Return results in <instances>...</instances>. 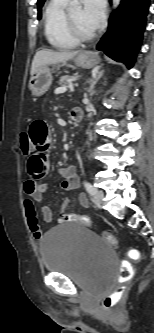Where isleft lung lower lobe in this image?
Returning a JSON list of instances; mask_svg holds the SVG:
<instances>
[{
  "instance_id": "obj_1",
  "label": "left lung lower lobe",
  "mask_w": 154,
  "mask_h": 333,
  "mask_svg": "<svg viewBox=\"0 0 154 333\" xmlns=\"http://www.w3.org/2000/svg\"><path fill=\"white\" fill-rule=\"evenodd\" d=\"M150 0H122L97 49L132 67L143 38Z\"/></svg>"
}]
</instances>
